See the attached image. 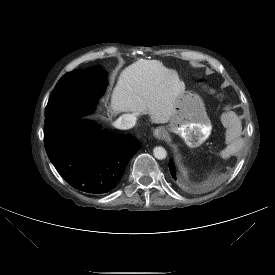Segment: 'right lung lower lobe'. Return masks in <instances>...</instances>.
Listing matches in <instances>:
<instances>
[{"instance_id":"right-lung-lower-lobe-1","label":"right lung lower lobe","mask_w":275,"mask_h":275,"mask_svg":"<svg viewBox=\"0 0 275 275\" xmlns=\"http://www.w3.org/2000/svg\"><path fill=\"white\" fill-rule=\"evenodd\" d=\"M105 85L101 79L102 92ZM81 115L45 125L47 155L72 187L92 194L109 192L141 145L134 136L108 132L95 121L80 119Z\"/></svg>"}]
</instances>
